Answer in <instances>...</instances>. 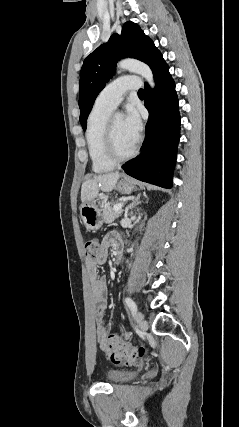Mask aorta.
Instances as JSON below:
<instances>
[{
  "instance_id": "aorta-1",
  "label": "aorta",
  "mask_w": 239,
  "mask_h": 427,
  "mask_svg": "<svg viewBox=\"0 0 239 427\" xmlns=\"http://www.w3.org/2000/svg\"><path fill=\"white\" fill-rule=\"evenodd\" d=\"M118 67L120 69L128 70L142 76L149 83V85L154 88V76L147 64L134 59H125L118 63Z\"/></svg>"
}]
</instances>
